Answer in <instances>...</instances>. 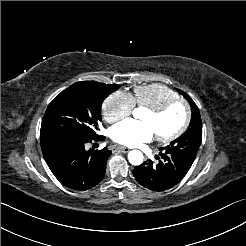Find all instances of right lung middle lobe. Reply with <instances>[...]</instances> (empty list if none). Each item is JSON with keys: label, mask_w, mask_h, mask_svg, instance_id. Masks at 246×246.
<instances>
[{"label": "right lung middle lobe", "mask_w": 246, "mask_h": 246, "mask_svg": "<svg viewBox=\"0 0 246 246\" xmlns=\"http://www.w3.org/2000/svg\"><path fill=\"white\" fill-rule=\"evenodd\" d=\"M120 86L95 81L77 82L49 104L42 119L40 137L64 135L86 139L96 138L102 120L104 99Z\"/></svg>", "instance_id": "obj_1"}]
</instances>
